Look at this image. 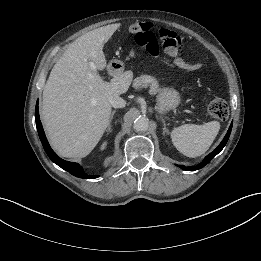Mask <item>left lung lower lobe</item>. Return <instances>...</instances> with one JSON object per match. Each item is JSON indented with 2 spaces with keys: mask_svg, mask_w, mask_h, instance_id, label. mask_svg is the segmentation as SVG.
I'll list each match as a JSON object with an SVG mask.
<instances>
[{
  "mask_svg": "<svg viewBox=\"0 0 261 261\" xmlns=\"http://www.w3.org/2000/svg\"><path fill=\"white\" fill-rule=\"evenodd\" d=\"M231 129H232V123L228 129L227 134L225 135L224 139L220 143V145L213 152H211L209 155H207L205 157V159L198 166H196V167L180 166V168H182L184 170L194 171V170H198V169L204 167L206 164H208L226 145V143L229 139L230 133H231Z\"/></svg>",
  "mask_w": 261,
  "mask_h": 261,
  "instance_id": "0a47b994",
  "label": "left lung lower lobe"
}]
</instances>
